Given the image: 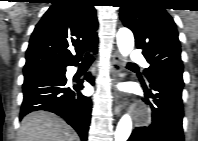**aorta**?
Returning <instances> with one entry per match:
<instances>
[{
	"mask_svg": "<svg viewBox=\"0 0 198 141\" xmlns=\"http://www.w3.org/2000/svg\"><path fill=\"white\" fill-rule=\"evenodd\" d=\"M117 46L123 57H127L134 48L133 33L127 28H121L117 32ZM132 131V120L129 114L121 117L116 127L115 141H127Z\"/></svg>",
	"mask_w": 198,
	"mask_h": 141,
	"instance_id": "1",
	"label": "aorta"
}]
</instances>
